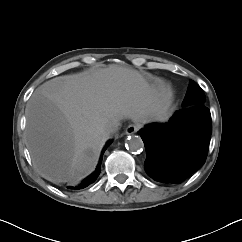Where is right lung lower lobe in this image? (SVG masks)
Masks as SVG:
<instances>
[{
  "mask_svg": "<svg viewBox=\"0 0 242 242\" xmlns=\"http://www.w3.org/2000/svg\"><path fill=\"white\" fill-rule=\"evenodd\" d=\"M110 143L111 142H108L106 147H108V145ZM106 147H105V149H106ZM100 163H101V160H100V162L98 164V167H97L96 171L94 173H92L90 176H88L80 185H78V186H67V188L71 189V190H79V189H83V188L87 187L92 182H94V180L98 177V175L100 173V167H101Z\"/></svg>",
  "mask_w": 242,
  "mask_h": 242,
  "instance_id": "right-lung-lower-lobe-1",
  "label": "right lung lower lobe"
}]
</instances>
